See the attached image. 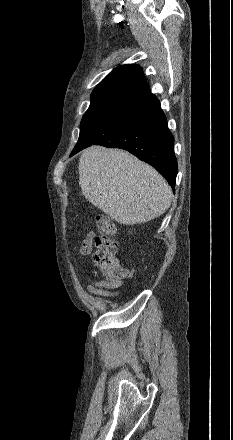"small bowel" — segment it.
<instances>
[{"instance_id":"obj_1","label":"small bowel","mask_w":233,"mask_h":440,"mask_svg":"<svg viewBox=\"0 0 233 440\" xmlns=\"http://www.w3.org/2000/svg\"><path fill=\"white\" fill-rule=\"evenodd\" d=\"M96 239V235L94 232H88L79 248V252L81 255L86 256L92 252L93 245ZM121 287V283L113 284L109 280H89L87 285L88 291L100 297H115L119 293V288Z\"/></svg>"}]
</instances>
